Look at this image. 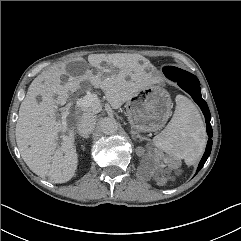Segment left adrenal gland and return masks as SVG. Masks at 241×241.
Masks as SVG:
<instances>
[{"instance_id":"a2214340","label":"left adrenal gland","mask_w":241,"mask_h":241,"mask_svg":"<svg viewBox=\"0 0 241 241\" xmlns=\"http://www.w3.org/2000/svg\"><path fill=\"white\" fill-rule=\"evenodd\" d=\"M131 133H132V136L139 138V140H141V141L143 140V137L140 136L138 133H136L134 131H131Z\"/></svg>"}]
</instances>
